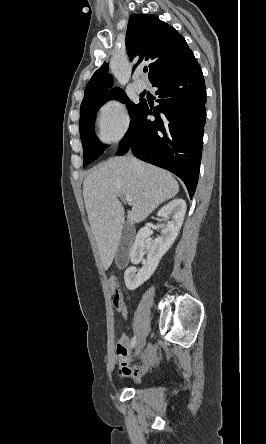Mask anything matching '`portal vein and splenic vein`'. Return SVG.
<instances>
[{
  "instance_id": "1",
  "label": "portal vein and splenic vein",
  "mask_w": 266,
  "mask_h": 444,
  "mask_svg": "<svg viewBox=\"0 0 266 444\" xmlns=\"http://www.w3.org/2000/svg\"><path fill=\"white\" fill-rule=\"evenodd\" d=\"M125 200H126L128 203H132L133 198H132L131 196L127 195V196H125Z\"/></svg>"
}]
</instances>
